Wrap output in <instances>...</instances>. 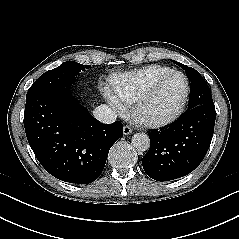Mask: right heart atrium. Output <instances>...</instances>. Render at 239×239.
Wrapping results in <instances>:
<instances>
[{"instance_id": "d8ad5b80", "label": "right heart atrium", "mask_w": 239, "mask_h": 239, "mask_svg": "<svg viewBox=\"0 0 239 239\" xmlns=\"http://www.w3.org/2000/svg\"><path fill=\"white\" fill-rule=\"evenodd\" d=\"M105 95L110 103V105L119 113H123L125 108L124 105L115 97L113 92L111 91H105Z\"/></svg>"}]
</instances>
